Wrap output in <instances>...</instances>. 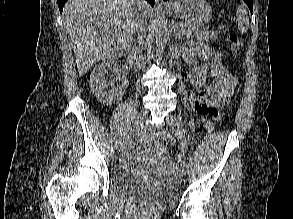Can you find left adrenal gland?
<instances>
[{"mask_svg": "<svg viewBox=\"0 0 293 219\" xmlns=\"http://www.w3.org/2000/svg\"><path fill=\"white\" fill-rule=\"evenodd\" d=\"M172 31H173V35L175 38L180 37V32L177 31V29L175 27H172Z\"/></svg>", "mask_w": 293, "mask_h": 219, "instance_id": "a2214340", "label": "left adrenal gland"}]
</instances>
